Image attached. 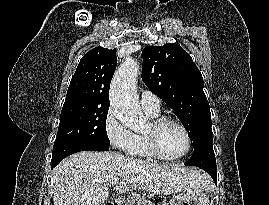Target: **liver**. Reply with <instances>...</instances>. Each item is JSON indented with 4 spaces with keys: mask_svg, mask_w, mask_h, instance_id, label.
<instances>
[{
    "mask_svg": "<svg viewBox=\"0 0 269 205\" xmlns=\"http://www.w3.org/2000/svg\"><path fill=\"white\" fill-rule=\"evenodd\" d=\"M113 178H120L114 188L119 194L141 189L168 195L192 188L206 190L210 184L208 175L196 168L159 165L111 151H82L54 169V205H101Z\"/></svg>",
    "mask_w": 269,
    "mask_h": 205,
    "instance_id": "6515ba94",
    "label": "liver"
}]
</instances>
